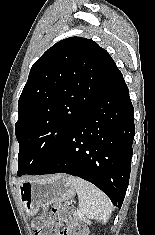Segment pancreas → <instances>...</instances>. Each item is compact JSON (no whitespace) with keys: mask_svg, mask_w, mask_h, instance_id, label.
<instances>
[{"mask_svg":"<svg viewBox=\"0 0 155 235\" xmlns=\"http://www.w3.org/2000/svg\"><path fill=\"white\" fill-rule=\"evenodd\" d=\"M74 217H77V212L74 213Z\"/></svg>","mask_w":155,"mask_h":235,"instance_id":"obj_1","label":"pancreas"}]
</instances>
